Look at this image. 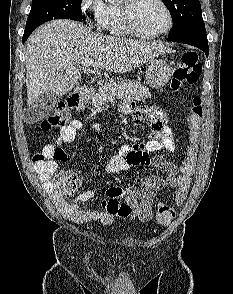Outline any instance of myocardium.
<instances>
[{"instance_id":"myocardium-1","label":"myocardium","mask_w":233,"mask_h":294,"mask_svg":"<svg viewBox=\"0 0 233 294\" xmlns=\"http://www.w3.org/2000/svg\"><path fill=\"white\" fill-rule=\"evenodd\" d=\"M139 0H125L122 5L123 19L128 32L136 37L144 39H154L167 34L173 26V15L172 12L164 0H156L164 9L167 16V24L164 29L156 33H145L141 31L134 20V8Z\"/></svg>"}]
</instances>
